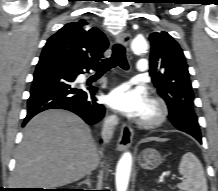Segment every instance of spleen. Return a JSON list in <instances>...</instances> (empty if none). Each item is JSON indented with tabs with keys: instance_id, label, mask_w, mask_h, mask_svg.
Returning <instances> with one entry per match:
<instances>
[{
	"instance_id": "1",
	"label": "spleen",
	"mask_w": 218,
	"mask_h": 191,
	"mask_svg": "<svg viewBox=\"0 0 218 191\" xmlns=\"http://www.w3.org/2000/svg\"><path fill=\"white\" fill-rule=\"evenodd\" d=\"M179 173L185 181L177 184L183 191H208L204 170L199 159L191 152L183 155L179 164Z\"/></svg>"
}]
</instances>
